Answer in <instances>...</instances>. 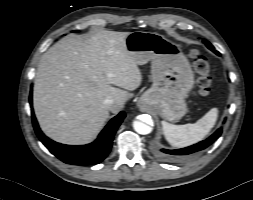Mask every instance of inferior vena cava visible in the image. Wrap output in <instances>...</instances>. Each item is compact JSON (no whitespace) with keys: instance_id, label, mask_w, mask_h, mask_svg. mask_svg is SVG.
Returning <instances> with one entry per match:
<instances>
[{"instance_id":"602c4592","label":"inferior vena cava","mask_w":253,"mask_h":200,"mask_svg":"<svg viewBox=\"0 0 253 200\" xmlns=\"http://www.w3.org/2000/svg\"><path fill=\"white\" fill-rule=\"evenodd\" d=\"M104 106L107 108V109H111L113 104H114V99L111 98V97H108L104 100L103 102Z\"/></svg>"}]
</instances>
